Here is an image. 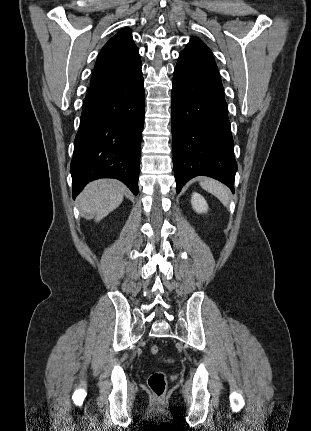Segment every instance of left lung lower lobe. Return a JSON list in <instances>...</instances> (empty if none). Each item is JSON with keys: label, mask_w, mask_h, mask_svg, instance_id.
Listing matches in <instances>:
<instances>
[{"label": "left lung lower lobe", "mask_w": 311, "mask_h": 431, "mask_svg": "<svg viewBox=\"0 0 311 431\" xmlns=\"http://www.w3.org/2000/svg\"><path fill=\"white\" fill-rule=\"evenodd\" d=\"M172 86L171 129L177 193L198 175L215 178L234 193L237 163L228 106L213 56L183 50Z\"/></svg>", "instance_id": "obj_1"}]
</instances>
